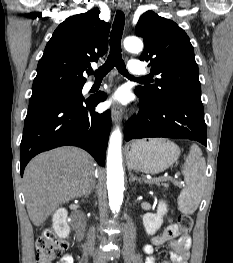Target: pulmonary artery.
Returning a JSON list of instances; mask_svg holds the SVG:
<instances>
[{
    "label": "pulmonary artery",
    "instance_id": "obj_1",
    "mask_svg": "<svg viewBox=\"0 0 233 263\" xmlns=\"http://www.w3.org/2000/svg\"><path fill=\"white\" fill-rule=\"evenodd\" d=\"M128 71L133 75L146 74V69L139 60H130L128 63ZM93 85V82L89 83V87Z\"/></svg>",
    "mask_w": 233,
    "mask_h": 263
}]
</instances>
